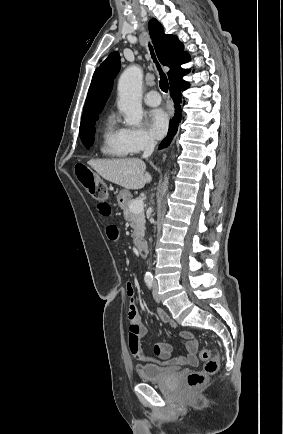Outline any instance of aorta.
I'll return each instance as SVG.
<instances>
[{"label": "aorta", "mask_w": 283, "mask_h": 434, "mask_svg": "<svg viewBox=\"0 0 283 434\" xmlns=\"http://www.w3.org/2000/svg\"><path fill=\"white\" fill-rule=\"evenodd\" d=\"M143 72L138 65H131L121 74L118 81V108L125 115V124L140 126L143 118L142 109ZM168 189L165 177L163 195Z\"/></svg>", "instance_id": "1"}]
</instances>
